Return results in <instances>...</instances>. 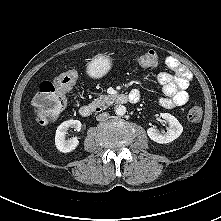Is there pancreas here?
Listing matches in <instances>:
<instances>
[{
  "instance_id": "pancreas-1",
  "label": "pancreas",
  "mask_w": 221,
  "mask_h": 221,
  "mask_svg": "<svg viewBox=\"0 0 221 221\" xmlns=\"http://www.w3.org/2000/svg\"><path fill=\"white\" fill-rule=\"evenodd\" d=\"M115 99V96L113 95H100L98 98H96L93 102L92 105L94 106H102L103 108L108 107L110 104L113 103Z\"/></svg>"
}]
</instances>
